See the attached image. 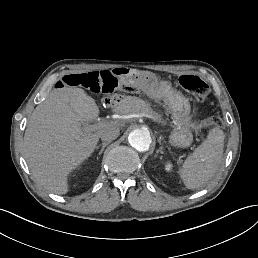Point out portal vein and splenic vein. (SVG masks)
<instances>
[{
	"mask_svg": "<svg viewBox=\"0 0 258 258\" xmlns=\"http://www.w3.org/2000/svg\"><path fill=\"white\" fill-rule=\"evenodd\" d=\"M91 131H95L98 129V126H89L88 127Z\"/></svg>",
	"mask_w": 258,
	"mask_h": 258,
	"instance_id": "portal-vein-and-splenic-vein-1",
	"label": "portal vein and splenic vein"
}]
</instances>
